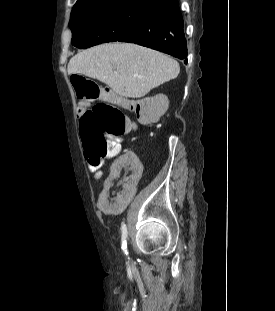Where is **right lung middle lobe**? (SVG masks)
Returning a JSON list of instances; mask_svg holds the SVG:
<instances>
[{
	"label": "right lung middle lobe",
	"instance_id": "right-lung-middle-lobe-1",
	"mask_svg": "<svg viewBox=\"0 0 275 311\" xmlns=\"http://www.w3.org/2000/svg\"><path fill=\"white\" fill-rule=\"evenodd\" d=\"M162 5L155 0H83L74 5L72 44L89 48L116 41L139 19Z\"/></svg>",
	"mask_w": 275,
	"mask_h": 311
}]
</instances>
